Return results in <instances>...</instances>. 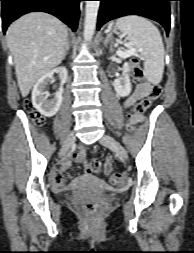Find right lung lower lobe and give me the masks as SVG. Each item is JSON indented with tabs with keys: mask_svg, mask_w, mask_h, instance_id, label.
Wrapping results in <instances>:
<instances>
[{
	"mask_svg": "<svg viewBox=\"0 0 194 253\" xmlns=\"http://www.w3.org/2000/svg\"><path fill=\"white\" fill-rule=\"evenodd\" d=\"M2 1L3 32L11 22L32 11L50 13L76 30L79 19V3L82 0H0Z\"/></svg>",
	"mask_w": 194,
	"mask_h": 253,
	"instance_id": "1",
	"label": "right lung lower lobe"
}]
</instances>
